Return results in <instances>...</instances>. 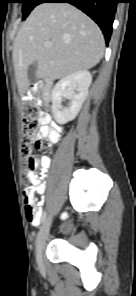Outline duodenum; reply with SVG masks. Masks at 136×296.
Masks as SVG:
<instances>
[{"instance_id": "1", "label": "duodenum", "mask_w": 136, "mask_h": 296, "mask_svg": "<svg viewBox=\"0 0 136 296\" xmlns=\"http://www.w3.org/2000/svg\"><path fill=\"white\" fill-rule=\"evenodd\" d=\"M51 86V81H46L44 84H39L34 87V92H44V104L48 102L49 99V88Z\"/></svg>"}]
</instances>
